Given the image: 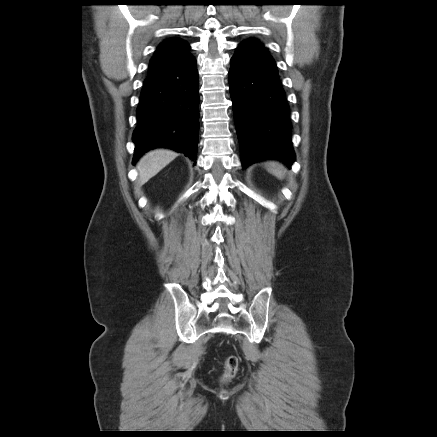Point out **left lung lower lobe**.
Wrapping results in <instances>:
<instances>
[{"mask_svg": "<svg viewBox=\"0 0 437 437\" xmlns=\"http://www.w3.org/2000/svg\"><path fill=\"white\" fill-rule=\"evenodd\" d=\"M230 62V96L242 166L274 158L290 167L295 160L292 125L276 64L245 43L238 45Z\"/></svg>", "mask_w": 437, "mask_h": 437, "instance_id": "0a47b994", "label": "left lung lower lobe"}]
</instances>
